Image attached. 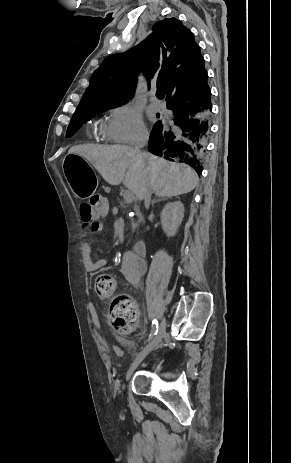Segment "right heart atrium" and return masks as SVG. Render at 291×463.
<instances>
[{
  "label": "right heart atrium",
  "mask_w": 291,
  "mask_h": 463,
  "mask_svg": "<svg viewBox=\"0 0 291 463\" xmlns=\"http://www.w3.org/2000/svg\"><path fill=\"white\" fill-rule=\"evenodd\" d=\"M102 135L111 142L136 144L147 138V129L138 108L132 103H125L111 110Z\"/></svg>",
  "instance_id": "obj_1"
}]
</instances>
